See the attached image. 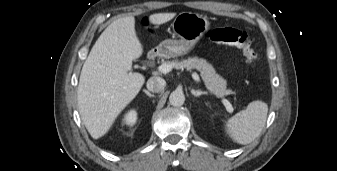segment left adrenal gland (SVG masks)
<instances>
[{"label": "left adrenal gland", "mask_w": 337, "mask_h": 171, "mask_svg": "<svg viewBox=\"0 0 337 171\" xmlns=\"http://www.w3.org/2000/svg\"><path fill=\"white\" fill-rule=\"evenodd\" d=\"M191 93L195 96V97H199L201 95H207L208 93L205 91H200V90H191Z\"/></svg>", "instance_id": "left-adrenal-gland-1"}]
</instances>
